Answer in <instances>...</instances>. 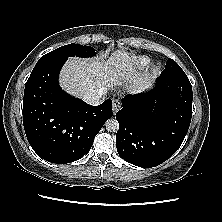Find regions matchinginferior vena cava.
<instances>
[{
  "label": "inferior vena cava",
  "instance_id": "602c4592",
  "mask_svg": "<svg viewBox=\"0 0 222 222\" xmlns=\"http://www.w3.org/2000/svg\"><path fill=\"white\" fill-rule=\"evenodd\" d=\"M106 95V89L100 88L86 93L83 96V100L93 106H97L102 103Z\"/></svg>",
  "mask_w": 222,
  "mask_h": 222
}]
</instances>
